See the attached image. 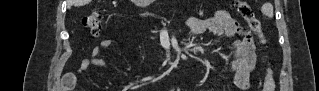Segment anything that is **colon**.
I'll return each instance as SVG.
<instances>
[{
    "instance_id": "1",
    "label": "colon",
    "mask_w": 319,
    "mask_h": 91,
    "mask_svg": "<svg viewBox=\"0 0 319 91\" xmlns=\"http://www.w3.org/2000/svg\"><path fill=\"white\" fill-rule=\"evenodd\" d=\"M236 8L238 13L247 22L249 29L261 39L264 43L265 38L261 31V26L259 20L256 18L252 8L246 1H236ZM104 16L103 12L99 9H93L81 19V24L83 28L89 31L92 35L97 36L101 33L103 29ZM275 81L273 73L270 69L265 72L264 83L262 91H274Z\"/></svg>"
}]
</instances>
